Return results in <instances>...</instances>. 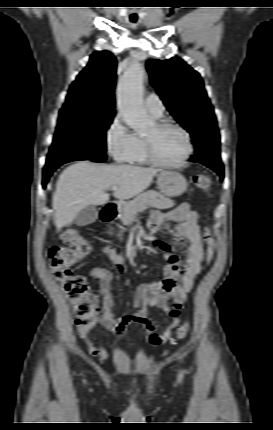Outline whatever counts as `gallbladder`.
<instances>
[{
  "instance_id": "1",
  "label": "gallbladder",
  "mask_w": 273,
  "mask_h": 430,
  "mask_svg": "<svg viewBox=\"0 0 273 430\" xmlns=\"http://www.w3.org/2000/svg\"><path fill=\"white\" fill-rule=\"evenodd\" d=\"M98 219V210L94 205H88L83 208L75 218L78 226H86L94 223Z\"/></svg>"
}]
</instances>
